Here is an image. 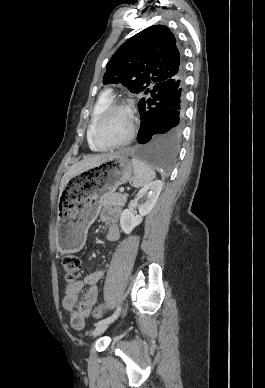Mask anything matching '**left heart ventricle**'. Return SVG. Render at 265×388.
Segmentation results:
<instances>
[{
  "label": "left heart ventricle",
  "mask_w": 265,
  "mask_h": 388,
  "mask_svg": "<svg viewBox=\"0 0 265 388\" xmlns=\"http://www.w3.org/2000/svg\"><path fill=\"white\" fill-rule=\"evenodd\" d=\"M129 116L120 110L106 114L98 127V138L106 144L120 141L129 130Z\"/></svg>",
  "instance_id": "b2bd125f"
}]
</instances>
